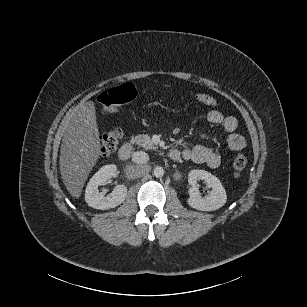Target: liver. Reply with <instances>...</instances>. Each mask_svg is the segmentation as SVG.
Segmentation results:
<instances>
[{"instance_id": "1", "label": "liver", "mask_w": 307, "mask_h": 307, "mask_svg": "<svg viewBox=\"0 0 307 307\" xmlns=\"http://www.w3.org/2000/svg\"><path fill=\"white\" fill-rule=\"evenodd\" d=\"M63 125L65 133L59 156L60 174L68 193L78 200L101 156L96 102L90 100L77 105L65 117Z\"/></svg>"}]
</instances>
